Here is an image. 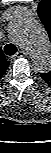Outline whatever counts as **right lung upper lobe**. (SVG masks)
<instances>
[{
    "instance_id": "obj_1",
    "label": "right lung upper lobe",
    "mask_w": 51,
    "mask_h": 153,
    "mask_svg": "<svg viewBox=\"0 0 51 153\" xmlns=\"http://www.w3.org/2000/svg\"><path fill=\"white\" fill-rule=\"evenodd\" d=\"M9 65V61L4 56V53L2 52V49L0 48V79L5 74V71L7 70Z\"/></svg>"
}]
</instances>
